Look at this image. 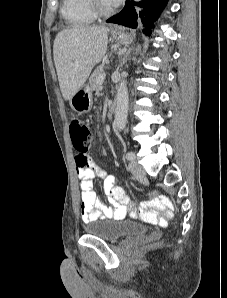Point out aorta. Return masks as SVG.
<instances>
[{
  "instance_id": "762f6f07",
  "label": "aorta",
  "mask_w": 227,
  "mask_h": 298,
  "mask_svg": "<svg viewBox=\"0 0 227 298\" xmlns=\"http://www.w3.org/2000/svg\"><path fill=\"white\" fill-rule=\"evenodd\" d=\"M139 1V0H136ZM128 89L126 80L124 78L121 79L116 95V112H115V119L114 125L118 130H123L125 128L127 122V115H128Z\"/></svg>"
}]
</instances>
